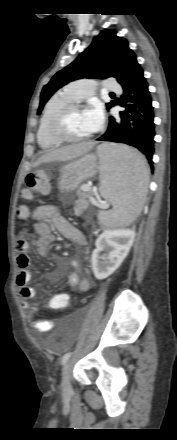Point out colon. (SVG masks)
Instances as JSON below:
<instances>
[{
	"label": "colon",
	"instance_id": "1",
	"mask_svg": "<svg viewBox=\"0 0 177 440\" xmlns=\"http://www.w3.org/2000/svg\"><path fill=\"white\" fill-rule=\"evenodd\" d=\"M49 183V175L45 171L28 174L25 179L23 194L28 197L34 192L47 193L49 191ZM24 215V209H19L18 216L23 217ZM45 303L47 304L46 308L48 311H68L70 308L69 298H47ZM31 315L34 316L35 312L33 311Z\"/></svg>",
	"mask_w": 177,
	"mask_h": 440
}]
</instances>
